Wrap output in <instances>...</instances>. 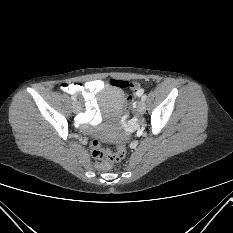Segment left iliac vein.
<instances>
[{
  "label": "left iliac vein",
  "mask_w": 233,
  "mask_h": 233,
  "mask_svg": "<svg viewBox=\"0 0 233 233\" xmlns=\"http://www.w3.org/2000/svg\"><path fill=\"white\" fill-rule=\"evenodd\" d=\"M146 111V105H145V102L143 100L139 101L138 102V105H137V112L139 114H144Z\"/></svg>",
  "instance_id": "4c4485c4"
}]
</instances>
